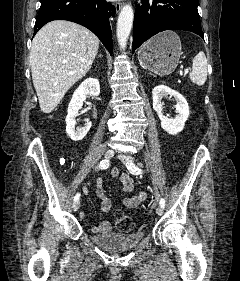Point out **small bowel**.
<instances>
[{
	"instance_id": "c3829d8e",
	"label": "small bowel",
	"mask_w": 240,
	"mask_h": 281,
	"mask_svg": "<svg viewBox=\"0 0 240 281\" xmlns=\"http://www.w3.org/2000/svg\"><path fill=\"white\" fill-rule=\"evenodd\" d=\"M111 177L113 179H119L121 182L124 193L123 203L127 208H135L146 199L147 195L144 191L131 194L134 189L132 178L126 173H121L117 167L111 170ZM82 191L85 195L88 194L87 188H83ZM96 193L101 200V211L103 213H109L112 209V202L111 199L106 195L105 189L103 187V180L100 176L96 180ZM81 216L84 217V213H81ZM111 229L112 226L108 220H103L99 224L92 226V231L94 233H107L110 232Z\"/></svg>"
}]
</instances>
